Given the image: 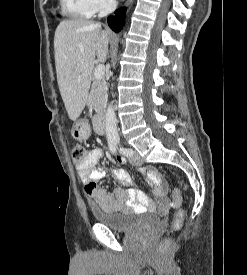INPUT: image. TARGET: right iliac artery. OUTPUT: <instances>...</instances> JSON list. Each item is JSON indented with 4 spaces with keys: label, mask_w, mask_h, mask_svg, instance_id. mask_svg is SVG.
Segmentation results:
<instances>
[{
    "label": "right iliac artery",
    "mask_w": 247,
    "mask_h": 275,
    "mask_svg": "<svg viewBox=\"0 0 247 275\" xmlns=\"http://www.w3.org/2000/svg\"><path fill=\"white\" fill-rule=\"evenodd\" d=\"M109 149L113 154H116V152H117V143L114 142V141H111L109 143Z\"/></svg>",
    "instance_id": "1"
}]
</instances>
